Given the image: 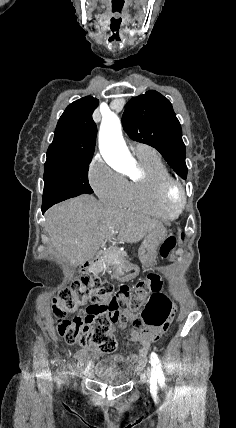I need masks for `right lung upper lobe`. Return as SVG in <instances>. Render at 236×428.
<instances>
[{
	"label": "right lung upper lobe",
	"instance_id": "cb5924a9",
	"mask_svg": "<svg viewBox=\"0 0 236 428\" xmlns=\"http://www.w3.org/2000/svg\"><path fill=\"white\" fill-rule=\"evenodd\" d=\"M98 104V99L86 96L66 108L48 148V159L92 158L97 135L92 113Z\"/></svg>",
	"mask_w": 236,
	"mask_h": 428
}]
</instances>
